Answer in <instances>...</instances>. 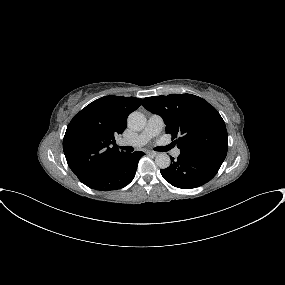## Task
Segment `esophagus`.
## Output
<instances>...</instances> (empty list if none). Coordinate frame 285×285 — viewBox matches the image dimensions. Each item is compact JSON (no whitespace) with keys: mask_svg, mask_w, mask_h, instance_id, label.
I'll list each match as a JSON object with an SVG mask.
<instances>
[{"mask_svg":"<svg viewBox=\"0 0 285 285\" xmlns=\"http://www.w3.org/2000/svg\"><path fill=\"white\" fill-rule=\"evenodd\" d=\"M147 154L151 155V156H156L157 152H155V151H148Z\"/></svg>","mask_w":285,"mask_h":285,"instance_id":"1","label":"esophagus"}]
</instances>
